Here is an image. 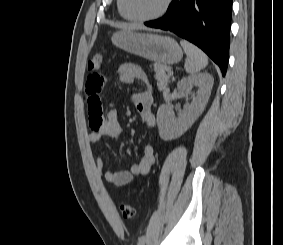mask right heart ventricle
<instances>
[{
    "label": "right heart ventricle",
    "mask_w": 283,
    "mask_h": 245,
    "mask_svg": "<svg viewBox=\"0 0 283 245\" xmlns=\"http://www.w3.org/2000/svg\"><path fill=\"white\" fill-rule=\"evenodd\" d=\"M117 8H118L119 14H120L123 18H125V17H124V14H123V12H122L121 0H117Z\"/></svg>",
    "instance_id": "e07e8e85"
}]
</instances>
